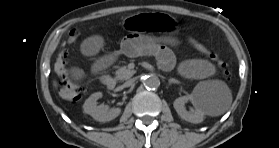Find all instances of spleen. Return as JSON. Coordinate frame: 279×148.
Instances as JSON below:
<instances>
[{
	"label": "spleen",
	"mask_w": 279,
	"mask_h": 148,
	"mask_svg": "<svg viewBox=\"0 0 279 148\" xmlns=\"http://www.w3.org/2000/svg\"><path fill=\"white\" fill-rule=\"evenodd\" d=\"M195 92L215 115L224 113L232 102L230 90L219 80L200 82L195 87Z\"/></svg>",
	"instance_id": "spleen-1"
}]
</instances>
